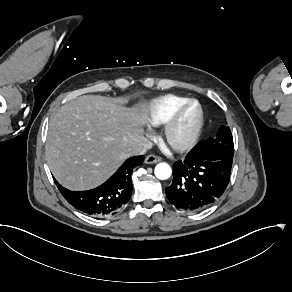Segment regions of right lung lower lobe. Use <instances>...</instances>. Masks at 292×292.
<instances>
[{
	"instance_id": "98d812e1",
	"label": "right lung lower lobe",
	"mask_w": 292,
	"mask_h": 292,
	"mask_svg": "<svg viewBox=\"0 0 292 292\" xmlns=\"http://www.w3.org/2000/svg\"><path fill=\"white\" fill-rule=\"evenodd\" d=\"M143 161V155L127 159L105 183L87 191H70L54 180L64 198L81 212L94 217L113 215L129 201L132 195V171Z\"/></svg>"
}]
</instances>
